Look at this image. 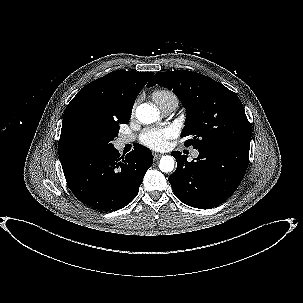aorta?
<instances>
[{
  "mask_svg": "<svg viewBox=\"0 0 303 303\" xmlns=\"http://www.w3.org/2000/svg\"><path fill=\"white\" fill-rule=\"evenodd\" d=\"M136 117L143 124H151L158 120L159 110L151 104H141L136 109ZM175 165L174 158L170 155L161 157L159 168L162 172L168 173L173 171Z\"/></svg>",
  "mask_w": 303,
  "mask_h": 303,
  "instance_id": "aorta-1",
  "label": "aorta"
}]
</instances>
